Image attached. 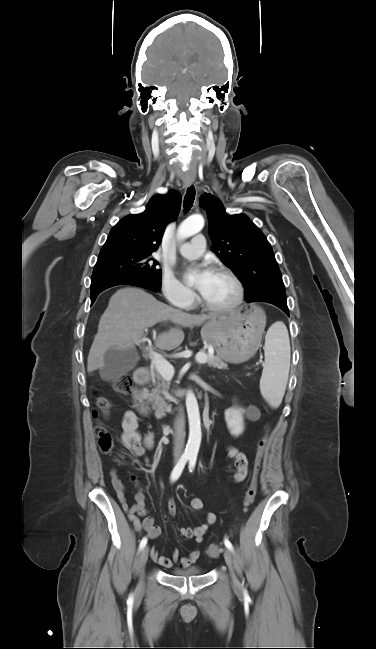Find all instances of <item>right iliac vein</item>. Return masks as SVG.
Masks as SVG:
<instances>
[{"label":"right iliac vein","mask_w":376,"mask_h":649,"mask_svg":"<svg viewBox=\"0 0 376 649\" xmlns=\"http://www.w3.org/2000/svg\"><path fill=\"white\" fill-rule=\"evenodd\" d=\"M148 553H149V548L146 546L142 549L140 558H139V567H140V572H141V580L138 585V590L142 591L143 589V573H144V568L148 559Z\"/></svg>","instance_id":"1"}]
</instances>
